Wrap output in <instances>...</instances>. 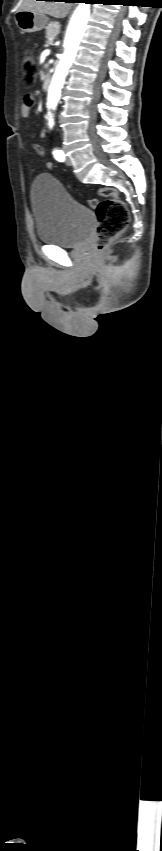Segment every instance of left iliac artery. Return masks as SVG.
Here are the masks:
<instances>
[{
	"label": "left iliac artery",
	"mask_w": 162,
	"mask_h": 851,
	"mask_svg": "<svg viewBox=\"0 0 162 851\" xmlns=\"http://www.w3.org/2000/svg\"><path fill=\"white\" fill-rule=\"evenodd\" d=\"M53 155H54L55 159L59 162H63L65 160V155H64L63 151L60 150V149H55L53 151Z\"/></svg>",
	"instance_id": "44dca946"
}]
</instances>
